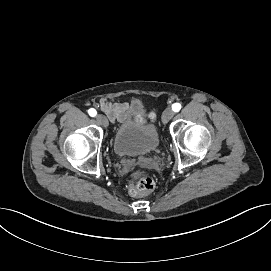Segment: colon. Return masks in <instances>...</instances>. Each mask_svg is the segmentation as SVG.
Returning a JSON list of instances; mask_svg holds the SVG:
<instances>
[{"instance_id": "obj_1", "label": "colon", "mask_w": 271, "mask_h": 271, "mask_svg": "<svg viewBox=\"0 0 271 271\" xmlns=\"http://www.w3.org/2000/svg\"><path fill=\"white\" fill-rule=\"evenodd\" d=\"M155 182L151 177L144 175L140 170L133 173L129 183V192L134 196H143L151 193Z\"/></svg>"}]
</instances>
